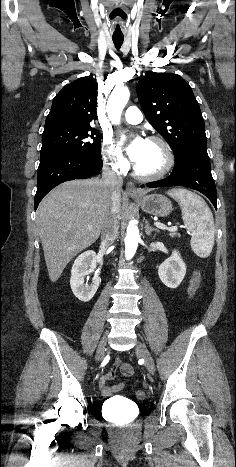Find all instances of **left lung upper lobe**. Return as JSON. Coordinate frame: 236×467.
<instances>
[{"instance_id": "left-lung-upper-lobe-1", "label": "left lung upper lobe", "mask_w": 236, "mask_h": 467, "mask_svg": "<svg viewBox=\"0 0 236 467\" xmlns=\"http://www.w3.org/2000/svg\"><path fill=\"white\" fill-rule=\"evenodd\" d=\"M150 124L166 139L175 160L196 145H206L204 120L191 87L173 73H148L137 85Z\"/></svg>"}]
</instances>
